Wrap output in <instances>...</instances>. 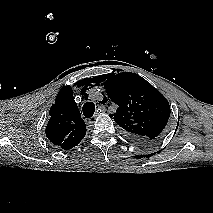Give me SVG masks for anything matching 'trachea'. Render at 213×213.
<instances>
[{
  "label": "trachea",
  "mask_w": 213,
  "mask_h": 213,
  "mask_svg": "<svg viewBox=\"0 0 213 213\" xmlns=\"http://www.w3.org/2000/svg\"><path fill=\"white\" fill-rule=\"evenodd\" d=\"M82 111L85 117L90 118L95 112V105L92 102H87L83 105Z\"/></svg>",
  "instance_id": "obj_1"
}]
</instances>
